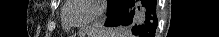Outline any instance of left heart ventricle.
I'll return each instance as SVG.
<instances>
[{
  "label": "left heart ventricle",
  "instance_id": "1",
  "mask_svg": "<svg viewBox=\"0 0 219 37\" xmlns=\"http://www.w3.org/2000/svg\"><path fill=\"white\" fill-rule=\"evenodd\" d=\"M95 12V6L89 0H73L66 11L69 21L79 23L89 19Z\"/></svg>",
  "mask_w": 219,
  "mask_h": 37
}]
</instances>
